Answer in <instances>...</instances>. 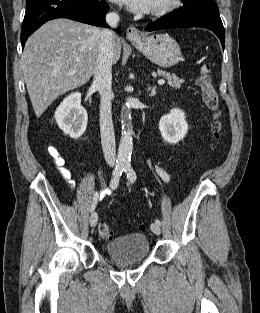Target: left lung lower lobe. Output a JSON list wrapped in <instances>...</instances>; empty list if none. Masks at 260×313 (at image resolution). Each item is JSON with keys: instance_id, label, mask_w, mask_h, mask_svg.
I'll return each mask as SVG.
<instances>
[{"instance_id": "obj_1", "label": "left lung lower lobe", "mask_w": 260, "mask_h": 313, "mask_svg": "<svg viewBox=\"0 0 260 313\" xmlns=\"http://www.w3.org/2000/svg\"><path fill=\"white\" fill-rule=\"evenodd\" d=\"M189 28L202 27L214 32L221 41L222 47L225 44V31L221 18L202 14H186L178 11L161 17L158 21L147 25V31H154L168 28Z\"/></svg>"}]
</instances>
